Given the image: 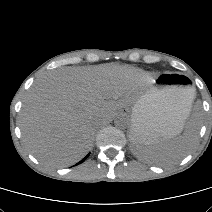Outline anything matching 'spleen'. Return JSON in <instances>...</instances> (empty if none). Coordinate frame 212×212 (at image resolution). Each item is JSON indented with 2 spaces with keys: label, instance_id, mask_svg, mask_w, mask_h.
I'll return each instance as SVG.
<instances>
[{
  "label": "spleen",
  "instance_id": "3e777b00",
  "mask_svg": "<svg viewBox=\"0 0 212 212\" xmlns=\"http://www.w3.org/2000/svg\"><path fill=\"white\" fill-rule=\"evenodd\" d=\"M196 90L193 87L186 89L183 101V117L186 119L192 108V102L195 98ZM200 124L191 129L187 126L184 135L174 137L166 141H159L154 144L143 143L139 141L137 134L136 154L139 158L157 165H171L186 156L189 149L197 139Z\"/></svg>",
  "mask_w": 212,
  "mask_h": 212
}]
</instances>
